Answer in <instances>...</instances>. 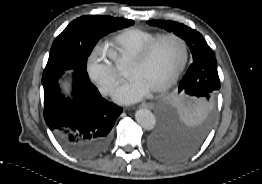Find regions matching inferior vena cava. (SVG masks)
Returning a JSON list of instances; mask_svg holds the SVG:
<instances>
[{
  "label": "inferior vena cava",
  "mask_w": 262,
  "mask_h": 184,
  "mask_svg": "<svg viewBox=\"0 0 262 184\" xmlns=\"http://www.w3.org/2000/svg\"><path fill=\"white\" fill-rule=\"evenodd\" d=\"M108 90H109V87H107V86L102 89L103 93H107Z\"/></svg>",
  "instance_id": "obj_1"
}]
</instances>
